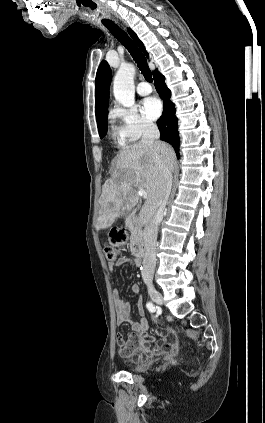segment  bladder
I'll return each instance as SVG.
<instances>
[{
  "instance_id": "1",
  "label": "bladder",
  "mask_w": 265,
  "mask_h": 423,
  "mask_svg": "<svg viewBox=\"0 0 265 423\" xmlns=\"http://www.w3.org/2000/svg\"><path fill=\"white\" fill-rule=\"evenodd\" d=\"M154 363V360H143L132 367L134 372H141L148 370Z\"/></svg>"
}]
</instances>
